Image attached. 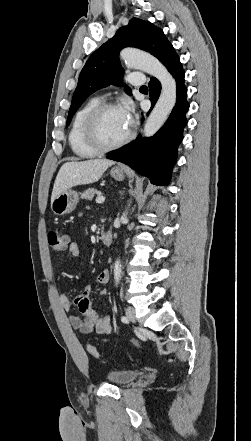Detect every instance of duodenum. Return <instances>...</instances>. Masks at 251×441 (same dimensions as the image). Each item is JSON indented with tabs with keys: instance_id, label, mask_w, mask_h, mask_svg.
I'll return each mask as SVG.
<instances>
[{
	"instance_id": "1",
	"label": "duodenum",
	"mask_w": 251,
	"mask_h": 441,
	"mask_svg": "<svg viewBox=\"0 0 251 441\" xmlns=\"http://www.w3.org/2000/svg\"><path fill=\"white\" fill-rule=\"evenodd\" d=\"M112 240H113V234L111 230H107L101 235V242L104 245H110L112 243Z\"/></svg>"
}]
</instances>
